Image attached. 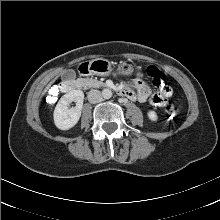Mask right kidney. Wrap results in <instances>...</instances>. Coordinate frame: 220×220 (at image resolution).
<instances>
[{
  "label": "right kidney",
  "mask_w": 220,
  "mask_h": 220,
  "mask_svg": "<svg viewBox=\"0 0 220 220\" xmlns=\"http://www.w3.org/2000/svg\"><path fill=\"white\" fill-rule=\"evenodd\" d=\"M76 106L69 108L71 102ZM84 101V93L81 90H72L63 95L54 110V123L58 129L69 130L80 119Z\"/></svg>",
  "instance_id": "ca27d5eb"
}]
</instances>
